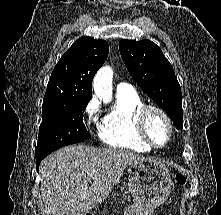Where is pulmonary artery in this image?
Listing matches in <instances>:
<instances>
[{"label": "pulmonary artery", "mask_w": 221, "mask_h": 215, "mask_svg": "<svg viewBox=\"0 0 221 215\" xmlns=\"http://www.w3.org/2000/svg\"><path fill=\"white\" fill-rule=\"evenodd\" d=\"M129 90H131V86L127 83L122 82L117 85V92H123Z\"/></svg>", "instance_id": "e3ab8cb5"}]
</instances>
